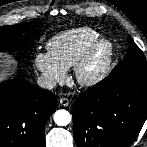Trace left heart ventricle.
<instances>
[{
    "mask_svg": "<svg viewBox=\"0 0 147 147\" xmlns=\"http://www.w3.org/2000/svg\"><path fill=\"white\" fill-rule=\"evenodd\" d=\"M104 52H105V48L104 47H101L100 49L97 50L88 70L89 72H92L94 71L95 69H97L100 64L102 63L103 61V57H104Z\"/></svg>",
    "mask_w": 147,
    "mask_h": 147,
    "instance_id": "1",
    "label": "left heart ventricle"
}]
</instances>
